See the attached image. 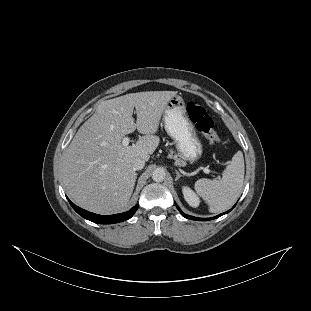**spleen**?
Listing matches in <instances>:
<instances>
[{
  "instance_id": "obj_1",
  "label": "spleen",
  "mask_w": 311,
  "mask_h": 311,
  "mask_svg": "<svg viewBox=\"0 0 311 311\" xmlns=\"http://www.w3.org/2000/svg\"><path fill=\"white\" fill-rule=\"evenodd\" d=\"M244 170L243 153L238 151L224 170L222 179L202 178L195 182L194 188L208 203L210 212H222L233 205L242 192Z\"/></svg>"
}]
</instances>
